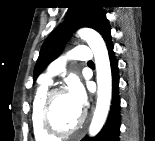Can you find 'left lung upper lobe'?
Segmentation results:
<instances>
[{
    "label": "left lung upper lobe",
    "instance_id": "1",
    "mask_svg": "<svg viewBox=\"0 0 155 141\" xmlns=\"http://www.w3.org/2000/svg\"><path fill=\"white\" fill-rule=\"evenodd\" d=\"M98 0H78L68 7L65 21L57 26L44 41L34 68V80L42 70L57 58L73 30L90 27L98 31L104 40L111 35V27Z\"/></svg>",
    "mask_w": 155,
    "mask_h": 141
}]
</instances>
